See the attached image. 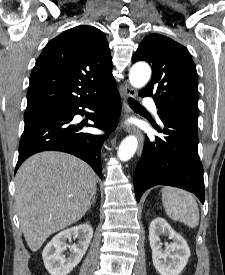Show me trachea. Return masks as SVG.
<instances>
[{
  "label": "trachea",
  "instance_id": "trachea-1",
  "mask_svg": "<svg viewBox=\"0 0 225 275\" xmlns=\"http://www.w3.org/2000/svg\"><path fill=\"white\" fill-rule=\"evenodd\" d=\"M128 103L130 105L131 108L134 109H144L136 100L129 98L128 99Z\"/></svg>",
  "mask_w": 225,
  "mask_h": 275
}]
</instances>
